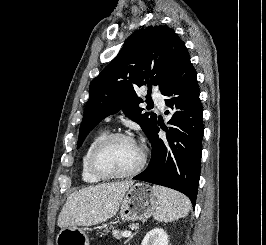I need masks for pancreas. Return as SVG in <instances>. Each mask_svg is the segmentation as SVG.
I'll return each mask as SVG.
<instances>
[{"mask_svg":"<svg viewBox=\"0 0 266 245\" xmlns=\"http://www.w3.org/2000/svg\"><path fill=\"white\" fill-rule=\"evenodd\" d=\"M121 233H123V231H112V235L115 239H122Z\"/></svg>","mask_w":266,"mask_h":245,"instance_id":"cf45deb5","label":"pancreas"}]
</instances>
